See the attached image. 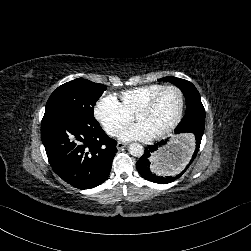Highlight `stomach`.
<instances>
[{"label":"stomach","instance_id":"1","mask_svg":"<svg viewBox=\"0 0 251 251\" xmlns=\"http://www.w3.org/2000/svg\"><path fill=\"white\" fill-rule=\"evenodd\" d=\"M192 142L186 135H175L158 154L152 165L161 172L172 175L178 173L186 159L192 152Z\"/></svg>","mask_w":251,"mask_h":251}]
</instances>
